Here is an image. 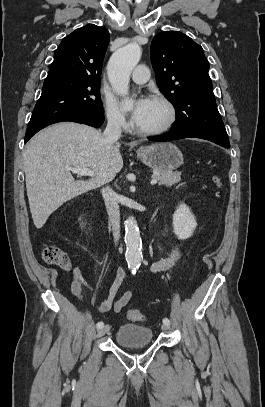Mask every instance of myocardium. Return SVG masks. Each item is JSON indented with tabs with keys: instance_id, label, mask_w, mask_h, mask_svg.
Segmentation results:
<instances>
[{
	"instance_id": "1",
	"label": "myocardium",
	"mask_w": 265,
	"mask_h": 407,
	"mask_svg": "<svg viewBox=\"0 0 265 407\" xmlns=\"http://www.w3.org/2000/svg\"><path fill=\"white\" fill-rule=\"evenodd\" d=\"M151 99L164 105V107L167 110V118L160 127H157L155 129L144 130V129H140L136 125H134V131L138 135L144 136V137L158 136V135L164 134L165 132L169 131L173 127V125L177 119L176 107L169 98H167L166 96L161 95V94H155V95L151 96Z\"/></svg>"
}]
</instances>
